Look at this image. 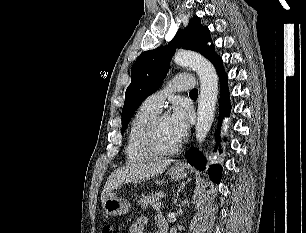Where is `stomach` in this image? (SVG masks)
<instances>
[{
	"label": "stomach",
	"instance_id": "obj_1",
	"mask_svg": "<svg viewBox=\"0 0 306 233\" xmlns=\"http://www.w3.org/2000/svg\"><path fill=\"white\" fill-rule=\"evenodd\" d=\"M169 176L175 180L184 179L187 172L182 167H172ZM102 207L111 216L126 214L131 208V204L124 198L118 196L116 192H111L104 200Z\"/></svg>",
	"mask_w": 306,
	"mask_h": 233
}]
</instances>
